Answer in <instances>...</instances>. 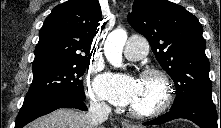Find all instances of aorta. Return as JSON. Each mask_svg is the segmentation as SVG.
Wrapping results in <instances>:
<instances>
[{
    "label": "aorta",
    "instance_id": "1",
    "mask_svg": "<svg viewBox=\"0 0 221 128\" xmlns=\"http://www.w3.org/2000/svg\"><path fill=\"white\" fill-rule=\"evenodd\" d=\"M127 32L124 29H115L104 43V54L108 62L114 67H122V52L127 41Z\"/></svg>",
    "mask_w": 221,
    "mask_h": 128
}]
</instances>
